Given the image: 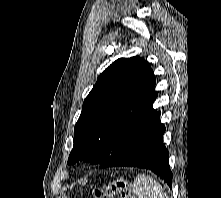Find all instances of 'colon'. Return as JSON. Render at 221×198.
<instances>
[{"instance_id":"colon-1","label":"colon","mask_w":221,"mask_h":198,"mask_svg":"<svg viewBox=\"0 0 221 198\" xmlns=\"http://www.w3.org/2000/svg\"><path fill=\"white\" fill-rule=\"evenodd\" d=\"M92 198H133L127 179L119 177L102 187L95 188Z\"/></svg>"}]
</instances>
